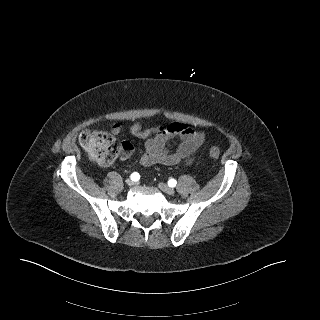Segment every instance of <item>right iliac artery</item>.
Wrapping results in <instances>:
<instances>
[{"label": "right iliac artery", "instance_id": "obj_1", "mask_svg": "<svg viewBox=\"0 0 320 320\" xmlns=\"http://www.w3.org/2000/svg\"><path fill=\"white\" fill-rule=\"evenodd\" d=\"M131 180L137 181L140 178V175L137 172H134L130 175Z\"/></svg>", "mask_w": 320, "mask_h": 320}]
</instances>
